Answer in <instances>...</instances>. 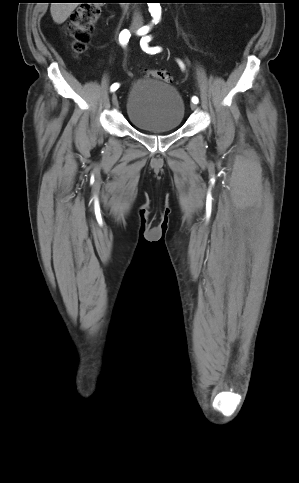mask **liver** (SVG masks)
<instances>
[{"mask_svg":"<svg viewBox=\"0 0 299 483\" xmlns=\"http://www.w3.org/2000/svg\"><path fill=\"white\" fill-rule=\"evenodd\" d=\"M78 3H51L50 12L55 23L62 24L71 15Z\"/></svg>","mask_w":299,"mask_h":483,"instance_id":"liver-1","label":"liver"}]
</instances>
